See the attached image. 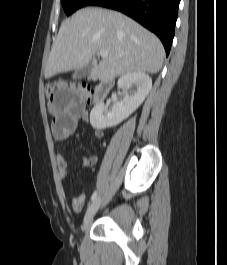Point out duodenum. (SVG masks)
<instances>
[{
  "label": "duodenum",
  "instance_id": "obj_1",
  "mask_svg": "<svg viewBox=\"0 0 227 265\" xmlns=\"http://www.w3.org/2000/svg\"><path fill=\"white\" fill-rule=\"evenodd\" d=\"M112 86L113 82L111 79H102L98 81L93 92V102L99 103L103 101L109 94Z\"/></svg>",
  "mask_w": 227,
  "mask_h": 265
}]
</instances>
